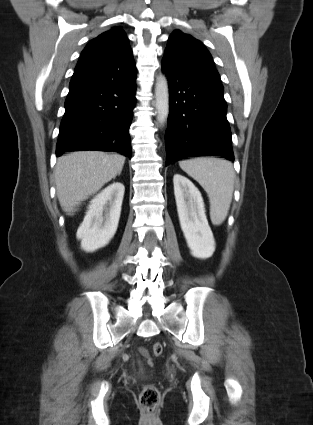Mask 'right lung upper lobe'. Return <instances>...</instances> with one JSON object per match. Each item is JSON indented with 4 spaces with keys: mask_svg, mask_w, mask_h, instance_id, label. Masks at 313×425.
<instances>
[{
    "mask_svg": "<svg viewBox=\"0 0 313 425\" xmlns=\"http://www.w3.org/2000/svg\"><path fill=\"white\" fill-rule=\"evenodd\" d=\"M126 33L119 27L92 39L82 51L77 66L134 65Z\"/></svg>",
    "mask_w": 313,
    "mask_h": 425,
    "instance_id": "obj_1",
    "label": "right lung upper lobe"
}]
</instances>
